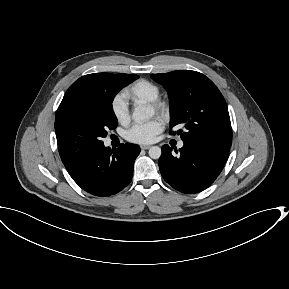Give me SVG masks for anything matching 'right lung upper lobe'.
<instances>
[{
	"label": "right lung upper lobe",
	"mask_w": 289,
	"mask_h": 289,
	"mask_svg": "<svg viewBox=\"0 0 289 289\" xmlns=\"http://www.w3.org/2000/svg\"><path fill=\"white\" fill-rule=\"evenodd\" d=\"M113 74L94 73L80 77L66 91L56 116L61 113L89 103L91 94L107 82Z\"/></svg>",
	"instance_id": "right-lung-upper-lobe-1"
}]
</instances>
